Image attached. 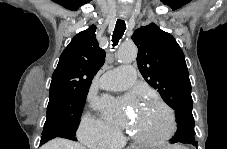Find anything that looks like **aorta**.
<instances>
[{"mask_svg": "<svg viewBox=\"0 0 227 149\" xmlns=\"http://www.w3.org/2000/svg\"><path fill=\"white\" fill-rule=\"evenodd\" d=\"M136 57L137 49L134 46H123L117 54V58L121 62H132Z\"/></svg>", "mask_w": 227, "mask_h": 149, "instance_id": "762f6f07", "label": "aorta"}]
</instances>
